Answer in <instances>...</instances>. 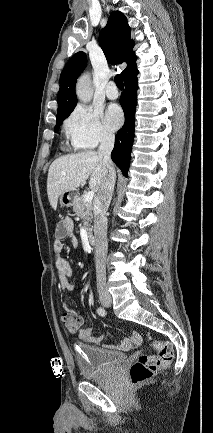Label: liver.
Returning <instances> with one entry per match:
<instances>
[{
    "instance_id": "liver-1",
    "label": "liver",
    "mask_w": 213,
    "mask_h": 433,
    "mask_svg": "<svg viewBox=\"0 0 213 433\" xmlns=\"http://www.w3.org/2000/svg\"><path fill=\"white\" fill-rule=\"evenodd\" d=\"M104 176L103 159L96 151H84L57 158L49 167L47 194L56 209L59 196L76 190L90 177L89 187L99 193Z\"/></svg>"
}]
</instances>
